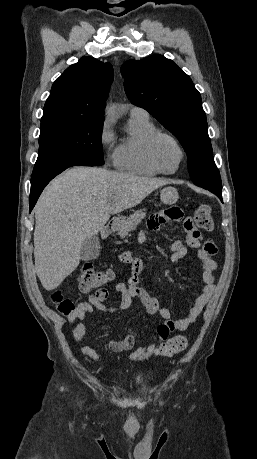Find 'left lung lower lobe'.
Returning a JSON list of instances; mask_svg holds the SVG:
<instances>
[{"mask_svg":"<svg viewBox=\"0 0 257 459\" xmlns=\"http://www.w3.org/2000/svg\"><path fill=\"white\" fill-rule=\"evenodd\" d=\"M216 195H217V196L220 198V200L222 201V193H217Z\"/></svg>","mask_w":257,"mask_h":459,"instance_id":"1","label":"left lung lower lobe"}]
</instances>
